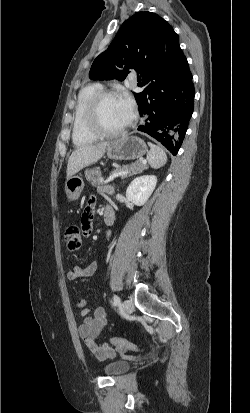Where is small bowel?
<instances>
[{"mask_svg": "<svg viewBox=\"0 0 250 413\" xmlns=\"http://www.w3.org/2000/svg\"><path fill=\"white\" fill-rule=\"evenodd\" d=\"M107 192L108 190H103L105 196L107 195ZM94 204L95 199L92 197L84 210L81 220L82 227L80 228V235L82 238H89L91 235ZM109 237L110 234H108V238ZM98 265L97 261L90 263L84 268L76 265L67 271L66 278L73 281L82 277L92 276L97 271ZM76 307L80 309V315L83 319L78 327V332L88 350L101 360L113 357L115 355V350L112 346L108 344L99 345L96 342V338L107 324V313L105 309L103 307H88L87 301L84 298H80L76 301Z\"/></svg>", "mask_w": 250, "mask_h": 413, "instance_id": "c3829d8e", "label": "small bowel"}]
</instances>
